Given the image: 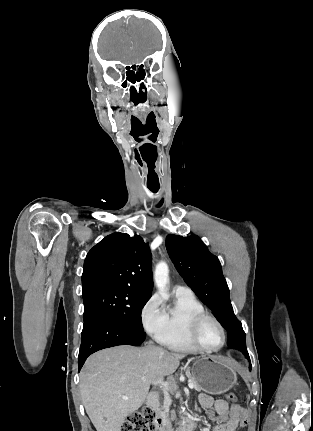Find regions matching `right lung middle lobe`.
<instances>
[{
	"label": "right lung middle lobe",
	"mask_w": 313,
	"mask_h": 431,
	"mask_svg": "<svg viewBox=\"0 0 313 431\" xmlns=\"http://www.w3.org/2000/svg\"><path fill=\"white\" fill-rule=\"evenodd\" d=\"M150 295L130 288H110L84 296V323L99 316L110 317L143 332L141 312Z\"/></svg>",
	"instance_id": "dd1d6c3e"
}]
</instances>
